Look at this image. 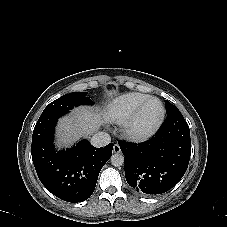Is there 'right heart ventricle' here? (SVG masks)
Listing matches in <instances>:
<instances>
[{"label": "right heart ventricle", "instance_id": "right-heart-ventricle-1", "mask_svg": "<svg viewBox=\"0 0 227 227\" xmlns=\"http://www.w3.org/2000/svg\"><path fill=\"white\" fill-rule=\"evenodd\" d=\"M149 98L148 95L140 93H128L116 97L106 106L105 116L113 122H125Z\"/></svg>", "mask_w": 227, "mask_h": 227}]
</instances>
